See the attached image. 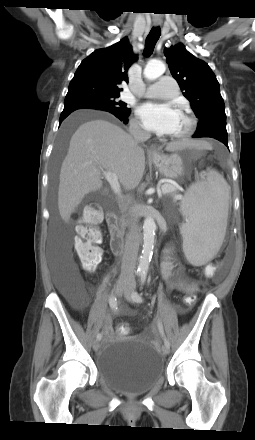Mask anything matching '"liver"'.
<instances>
[{
    "label": "liver",
    "mask_w": 255,
    "mask_h": 440,
    "mask_svg": "<svg viewBox=\"0 0 255 440\" xmlns=\"http://www.w3.org/2000/svg\"><path fill=\"white\" fill-rule=\"evenodd\" d=\"M205 143L183 140L168 143L165 150L205 147ZM115 173L126 190L136 188L145 170L144 150L121 127L92 119L81 124L72 135L60 170L58 209L68 222L82 199L102 187L101 172Z\"/></svg>",
    "instance_id": "1"
}]
</instances>
